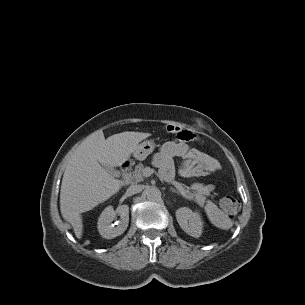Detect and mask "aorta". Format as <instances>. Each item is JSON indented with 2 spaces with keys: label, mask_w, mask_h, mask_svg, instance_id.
<instances>
[{
  "label": "aorta",
  "mask_w": 305,
  "mask_h": 305,
  "mask_svg": "<svg viewBox=\"0 0 305 305\" xmlns=\"http://www.w3.org/2000/svg\"><path fill=\"white\" fill-rule=\"evenodd\" d=\"M147 199L152 202H158L161 200V192L157 188H151L146 192Z\"/></svg>",
  "instance_id": "aorta-1"
}]
</instances>
